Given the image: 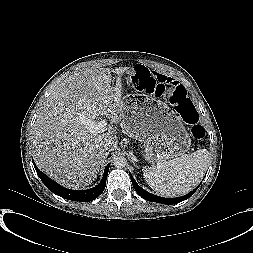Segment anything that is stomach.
Listing matches in <instances>:
<instances>
[{
    "label": "stomach",
    "mask_w": 253,
    "mask_h": 253,
    "mask_svg": "<svg viewBox=\"0 0 253 253\" xmlns=\"http://www.w3.org/2000/svg\"><path fill=\"white\" fill-rule=\"evenodd\" d=\"M122 100V125L132 138L145 144L146 161L154 164L190 149V134L167 104L141 94H128Z\"/></svg>",
    "instance_id": "stomach-1"
}]
</instances>
